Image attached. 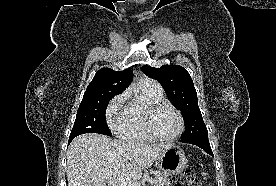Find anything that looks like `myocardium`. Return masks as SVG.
Segmentation results:
<instances>
[{
  "mask_svg": "<svg viewBox=\"0 0 276 186\" xmlns=\"http://www.w3.org/2000/svg\"><path fill=\"white\" fill-rule=\"evenodd\" d=\"M163 106L170 107L178 115L179 120H180L179 131L174 136H171V137L160 136L154 128V116H155L156 112ZM145 125H146L149 135L153 139L162 141V142H172V141L179 139L185 130V120H184L183 114L176 106H174L172 103H170L166 100H160V101L153 102L147 108L146 113H145Z\"/></svg>",
  "mask_w": 276,
  "mask_h": 186,
  "instance_id": "myocardium-1",
  "label": "myocardium"
}]
</instances>
